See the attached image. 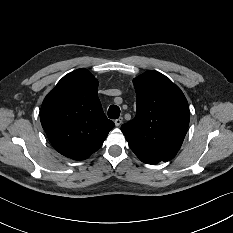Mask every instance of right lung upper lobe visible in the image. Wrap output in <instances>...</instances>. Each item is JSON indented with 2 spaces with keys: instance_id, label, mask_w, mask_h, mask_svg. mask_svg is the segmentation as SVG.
Instances as JSON below:
<instances>
[{
  "instance_id": "1",
  "label": "right lung upper lobe",
  "mask_w": 233,
  "mask_h": 233,
  "mask_svg": "<svg viewBox=\"0 0 233 233\" xmlns=\"http://www.w3.org/2000/svg\"><path fill=\"white\" fill-rule=\"evenodd\" d=\"M98 81L86 69L64 76L45 97L40 120L60 154L87 159L103 144L114 123L107 119L97 96Z\"/></svg>"
}]
</instances>
